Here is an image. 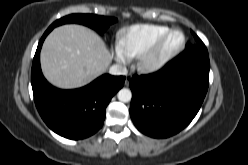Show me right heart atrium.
I'll return each mask as SVG.
<instances>
[{
    "label": "right heart atrium",
    "mask_w": 248,
    "mask_h": 165,
    "mask_svg": "<svg viewBox=\"0 0 248 165\" xmlns=\"http://www.w3.org/2000/svg\"><path fill=\"white\" fill-rule=\"evenodd\" d=\"M115 59L120 63H124L127 60V58L118 48L116 49V52H115Z\"/></svg>",
    "instance_id": "1"
}]
</instances>
